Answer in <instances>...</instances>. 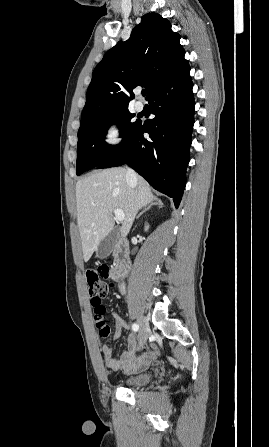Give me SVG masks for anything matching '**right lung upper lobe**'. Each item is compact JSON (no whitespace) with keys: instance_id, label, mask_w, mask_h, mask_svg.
I'll return each mask as SVG.
<instances>
[{"instance_id":"1","label":"right lung upper lobe","mask_w":269,"mask_h":447,"mask_svg":"<svg viewBox=\"0 0 269 447\" xmlns=\"http://www.w3.org/2000/svg\"><path fill=\"white\" fill-rule=\"evenodd\" d=\"M180 35L157 13L142 17L128 40L107 51L93 71L80 128L105 113L128 108L132 90L142 85L151 92L174 76L188 61Z\"/></svg>"}]
</instances>
